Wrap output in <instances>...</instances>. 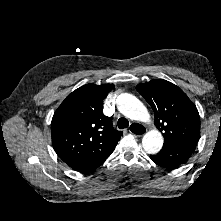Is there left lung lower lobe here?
<instances>
[{"mask_svg":"<svg viewBox=\"0 0 221 221\" xmlns=\"http://www.w3.org/2000/svg\"><path fill=\"white\" fill-rule=\"evenodd\" d=\"M196 145L197 142L193 141L180 145H164L157 155H150V158L163 168L176 169L190 158Z\"/></svg>","mask_w":221,"mask_h":221,"instance_id":"1","label":"left lung lower lobe"}]
</instances>
